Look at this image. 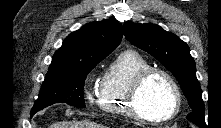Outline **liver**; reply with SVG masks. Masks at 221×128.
Listing matches in <instances>:
<instances>
[{"instance_id":"6515ba94","label":"liver","mask_w":221,"mask_h":128,"mask_svg":"<svg viewBox=\"0 0 221 128\" xmlns=\"http://www.w3.org/2000/svg\"><path fill=\"white\" fill-rule=\"evenodd\" d=\"M50 128H104L102 125L91 122L89 120L84 121H62L53 123Z\"/></svg>"}]
</instances>
